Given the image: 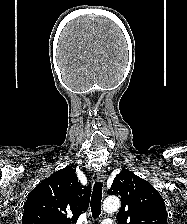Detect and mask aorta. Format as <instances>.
I'll list each match as a JSON object with an SVG mask.
<instances>
[{
	"label": "aorta",
	"mask_w": 187,
	"mask_h": 224,
	"mask_svg": "<svg viewBox=\"0 0 187 224\" xmlns=\"http://www.w3.org/2000/svg\"><path fill=\"white\" fill-rule=\"evenodd\" d=\"M120 208V200L117 197H108L103 203V209L107 213H114Z\"/></svg>",
	"instance_id": "1"
}]
</instances>
